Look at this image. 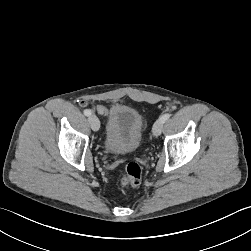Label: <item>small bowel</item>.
Returning <instances> with one entry per match:
<instances>
[{
	"mask_svg": "<svg viewBox=\"0 0 251 251\" xmlns=\"http://www.w3.org/2000/svg\"><path fill=\"white\" fill-rule=\"evenodd\" d=\"M78 105L81 108H88L91 105V102L86 97H81L78 100Z\"/></svg>",
	"mask_w": 251,
	"mask_h": 251,
	"instance_id": "small-bowel-1",
	"label": "small bowel"
}]
</instances>
